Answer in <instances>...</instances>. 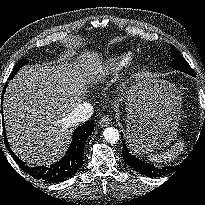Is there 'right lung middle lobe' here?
<instances>
[{"mask_svg":"<svg viewBox=\"0 0 205 205\" xmlns=\"http://www.w3.org/2000/svg\"><path fill=\"white\" fill-rule=\"evenodd\" d=\"M27 62H28V60H26V59L20 60V61L16 64L14 70L12 71V73H11V75H10V78H13L14 75H15V74L18 72V70L20 69V67H21L22 65H24L25 63H27Z\"/></svg>","mask_w":205,"mask_h":205,"instance_id":"right-lung-middle-lobe-1","label":"right lung middle lobe"}]
</instances>
